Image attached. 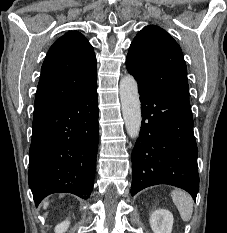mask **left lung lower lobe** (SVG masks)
I'll use <instances>...</instances> for the list:
<instances>
[{
    "label": "left lung lower lobe",
    "instance_id": "1",
    "mask_svg": "<svg viewBox=\"0 0 227 233\" xmlns=\"http://www.w3.org/2000/svg\"><path fill=\"white\" fill-rule=\"evenodd\" d=\"M142 126L132 152L131 195L157 185L183 188L193 199L199 190L198 149L189 103L138 84Z\"/></svg>",
    "mask_w": 227,
    "mask_h": 233
}]
</instances>
